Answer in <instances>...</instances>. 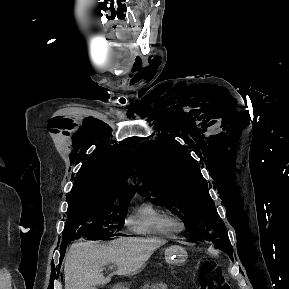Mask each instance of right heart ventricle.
<instances>
[{
    "instance_id": "obj_1",
    "label": "right heart ventricle",
    "mask_w": 289,
    "mask_h": 289,
    "mask_svg": "<svg viewBox=\"0 0 289 289\" xmlns=\"http://www.w3.org/2000/svg\"><path fill=\"white\" fill-rule=\"evenodd\" d=\"M172 215L151 201L142 200L128 211L125 223L135 234L173 237L179 231L172 225Z\"/></svg>"
}]
</instances>
